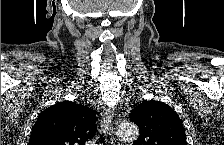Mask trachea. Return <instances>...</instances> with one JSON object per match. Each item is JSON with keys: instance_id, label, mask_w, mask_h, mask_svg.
Wrapping results in <instances>:
<instances>
[{"instance_id": "obj_1", "label": "trachea", "mask_w": 224, "mask_h": 145, "mask_svg": "<svg viewBox=\"0 0 224 145\" xmlns=\"http://www.w3.org/2000/svg\"><path fill=\"white\" fill-rule=\"evenodd\" d=\"M105 138H106V136L102 135V136L99 137L98 140H99V142L103 143V145H105Z\"/></svg>"}]
</instances>
